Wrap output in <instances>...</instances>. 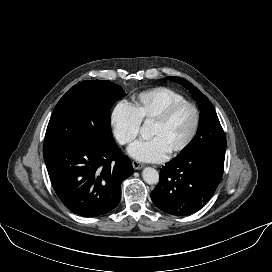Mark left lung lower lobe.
Returning <instances> with one entry per match:
<instances>
[{"label": "left lung lower lobe", "instance_id": "obj_1", "mask_svg": "<svg viewBox=\"0 0 272 272\" xmlns=\"http://www.w3.org/2000/svg\"><path fill=\"white\" fill-rule=\"evenodd\" d=\"M224 161L196 154L177 156L160 169V180L151 192L162 211L187 216L203 208L223 175Z\"/></svg>", "mask_w": 272, "mask_h": 272}]
</instances>
